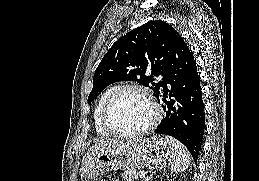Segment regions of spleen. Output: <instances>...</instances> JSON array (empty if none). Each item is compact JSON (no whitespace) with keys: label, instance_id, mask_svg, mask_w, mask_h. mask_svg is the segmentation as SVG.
I'll return each instance as SVG.
<instances>
[{"label":"spleen","instance_id":"obj_1","mask_svg":"<svg viewBox=\"0 0 259 181\" xmlns=\"http://www.w3.org/2000/svg\"><path fill=\"white\" fill-rule=\"evenodd\" d=\"M166 142L171 149L170 169L172 172L179 173L185 171L191 162V155L187 148L173 137L165 136Z\"/></svg>","mask_w":259,"mask_h":181}]
</instances>
